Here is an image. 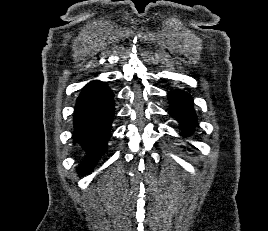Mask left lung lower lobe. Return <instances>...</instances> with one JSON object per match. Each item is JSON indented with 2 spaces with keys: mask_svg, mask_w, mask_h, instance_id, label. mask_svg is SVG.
<instances>
[{
  "mask_svg": "<svg viewBox=\"0 0 268 231\" xmlns=\"http://www.w3.org/2000/svg\"><path fill=\"white\" fill-rule=\"evenodd\" d=\"M169 98L173 103L170 108V115L180 123L183 135L188 136L197 125V116L193 108L192 98L184 91L170 92Z\"/></svg>",
  "mask_w": 268,
  "mask_h": 231,
  "instance_id": "obj_1",
  "label": "left lung lower lobe"
}]
</instances>
